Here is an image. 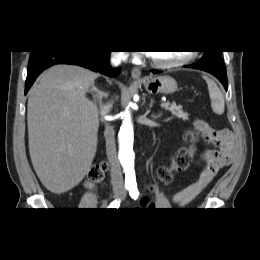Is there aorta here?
I'll use <instances>...</instances> for the list:
<instances>
[{"label": "aorta", "mask_w": 260, "mask_h": 260, "mask_svg": "<svg viewBox=\"0 0 260 260\" xmlns=\"http://www.w3.org/2000/svg\"><path fill=\"white\" fill-rule=\"evenodd\" d=\"M118 140V158L125 171V181L128 184H134L136 181L134 171L135 154L133 151L134 131L129 107L123 112V120L119 130Z\"/></svg>", "instance_id": "aorta-1"}]
</instances>
